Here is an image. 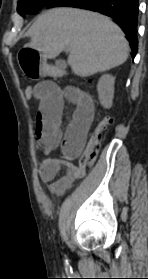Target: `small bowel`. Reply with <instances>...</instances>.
<instances>
[{
    "label": "small bowel",
    "instance_id": "1",
    "mask_svg": "<svg viewBox=\"0 0 148 279\" xmlns=\"http://www.w3.org/2000/svg\"><path fill=\"white\" fill-rule=\"evenodd\" d=\"M38 102L35 132L36 146L50 155L58 147L62 158L47 157L39 168V176L51 194L63 195L77 180L85 176V168L72 161L82 152L94 116L91 96L75 86L61 88L53 82L34 86L33 97ZM71 102L74 114L63 131L65 101ZM64 172L59 176L60 172Z\"/></svg>",
    "mask_w": 148,
    "mask_h": 279
}]
</instances>
